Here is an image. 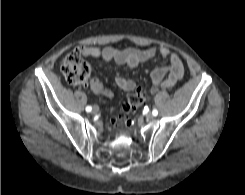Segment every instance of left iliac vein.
<instances>
[{
    "label": "left iliac vein",
    "instance_id": "left-iliac-vein-1",
    "mask_svg": "<svg viewBox=\"0 0 245 195\" xmlns=\"http://www.w3.org/2000/svg\"><path fill=\"white\" fill-rule=\"evenodd\" d=\"M146 117H147V119L151 120V119H153V114L152 113H148Z\"/></svg>",
    "mask_w": 245,
    "mask_h": 195
}]
</instances>
